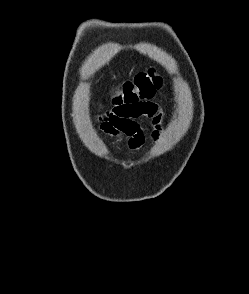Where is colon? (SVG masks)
<instances>
[{"label": "colon", "mask_w": 249, "mask_h": 294, "mask_svg": "<svg viewBox=\"0 0 249 294\" xmlns=\"http://www.w3.org/2000/svg\"><path fill=\"white\" fill-rule=\"evenodd\" d=\"M160 86L161 79L153 71L139 73L118 88L112 103H136L140 100L151 99Z\"/></svg>", "instance_id": "5ec220e1"}]
</instances>
